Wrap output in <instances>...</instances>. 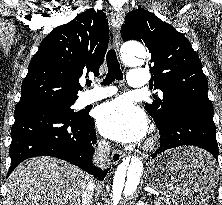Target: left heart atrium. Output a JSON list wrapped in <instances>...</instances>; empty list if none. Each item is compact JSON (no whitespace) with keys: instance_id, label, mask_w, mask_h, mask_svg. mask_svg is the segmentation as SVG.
Returning a JSON list of instances; mask_svg holds the SVG:
<instances>
[{"instance_id":"left-heart-atrium-1","label":"left heart atrium","mask_w":222,"mask_h":205,"mask_svg":"<svg viewBox=\"0 0 222 205\" xmlns=\"http://www.w3.org/2000/svg\"><path fill=\"white\" fill-rule=\"evenodd\" d=\"M96 120L103 135L120 142L142 139L148 126L144 112L126 97L101 105L97 110Z\"/></svg>"}]
</instances>
